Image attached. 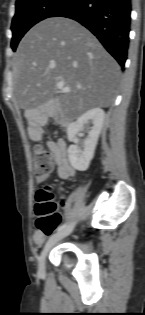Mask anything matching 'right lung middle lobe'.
Returning <instances> with one entry per match:
<instances>
[{"mask_svg": "<svg viewBox=\"0 0 145 315\" xmlns=\"http://www.w3.org/2000/svg\"><path fill=\"white\" fill-rule=\"evenodd\" d=\"M71 0H19L16 2V13L11 30L13 37L11 48L15 51L24 34L39 21L52 17L54 13L67 5Z\"/></svg>", "mask_w": 145, "mask_h": 315, "instance_id": "dd1d6c3e", "label": "right lung middle lobe"}]
</instances>
